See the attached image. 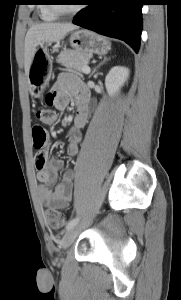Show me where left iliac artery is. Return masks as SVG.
I'll list each match as a JSON object with an SVG mask.
<instances>
[{"instance_id":"left-iliac-artery-1","label":"left iliac artery","mask_w":181,"mask_h":300,"mask_svg":"<svg viewBox=\"0 0 181 300\" xmlns=\"http://www.w3.org/2000/svg\"><path fill=\"white\" fill-rule=\"evenodd\" d=\"M79 222V218H73L72 220L69 221V223L66 226V230H69L70 228H72L73 226L77 225V223Z\"/></svg>"}]
</instances>
